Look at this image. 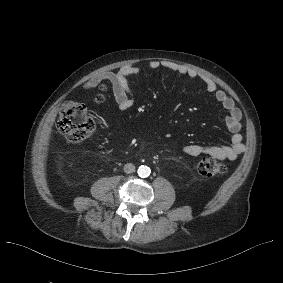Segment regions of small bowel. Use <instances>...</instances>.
Instances as JSON below:
<instances>
[{
	"label": "small bowel",
	"mask_w": 283,
	"mask_h": 283,
	"mask_svg": "<svg viewBox=\"0 0 283 283\" xmlns=\"http://www.w3.org/2000/svg\"><path fill=\"white\" fill-rule=\"evenodd\" d=\"M149 67L153 70L161 67L191 79L200 78L205 84L206 91L213 95L216 102L227 111L225 118L226 126L231 133V143L228 145H196L190 144L182 147L181 151L189 156L201 154L210 155L220 160H235L240 156L245 146L241 134V111L234 100L223 90L217 88L213 79L206 75L199 74L196 70L172 61L152 60ZM140 72L139 67L129 64L121 67L116 72H109L89 80L85 89L90 90L97 87L102 81H108L120 110H129L134 104V93L128 84V78Z\"/></svg>",
	"instance_id": "obj_1"
}]
</instances>
